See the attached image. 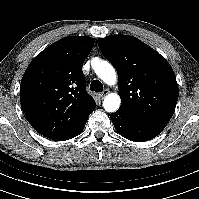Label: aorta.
<instances>
[{
    "label": "aorta",
    "instance_id": "762f6f07",
    "mask_svg": "<svg viewBox=\"0 0 199 199\" xmlns=\"http://www.w3.org/2000/svg\"><path fill=\"white\" fill-rule=\"evenodd\" d=\"M92 66L95 70L96 75L106 84L115 85L117 81V76L113 66L104 60L92 61ZM121 104L120 96L117 93L108 94L103 101L104 109L113 113L116 112Z\"/></svg>",
    "mask_w": 199,
    "mask_h": 199
}]
</instances>
